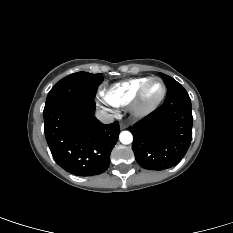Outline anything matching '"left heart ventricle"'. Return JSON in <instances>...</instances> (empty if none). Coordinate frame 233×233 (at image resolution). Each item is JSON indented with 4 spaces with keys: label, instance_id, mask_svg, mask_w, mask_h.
Instances as JSON below:
<instances>
[{
    "label": "left heart ventricle",
    "instance_id": "b2bd125f",
    "mask_svg": "<svg viewBox=\"0 0 233 233\" xmlns=\"http://www.w3.org/2000/svg\"><path fill=\"white\" fill-rule=\"evenodd\" d=\"M162 93V85L159 81L157 80H154L152 81L146 91H145V94H144V103L145 104H151L153 102H155L159 96L161 95Z\"/></svg>",
    "mask_w": 233,
    "mask_h": 233
}]
</instances>
